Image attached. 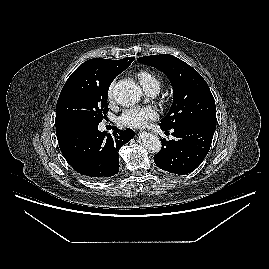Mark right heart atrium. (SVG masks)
Masks as SVG:
<instances>
[{"label": "right heart atrium", "mask_w": 269, "mask_h": 269, "mask_svg": "<svg viewBox=\"0 0 269 269\" xmlns=\"http://www.w3.org/2000/svg\"><path fill=\"white\" fill-rule=\"evenodd\" d=\"M114 85L115 82H112L108 88L107 97L109 101H112L114 99Z\"/></svg>", "instance_id": "right-heart-atrium-1"}]
</instances>
